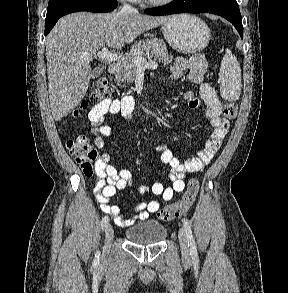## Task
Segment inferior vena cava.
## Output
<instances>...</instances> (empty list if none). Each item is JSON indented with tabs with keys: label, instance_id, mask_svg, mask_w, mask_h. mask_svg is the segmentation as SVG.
I'll list each match as a JSON object with an SVG mask.
<instances>
[{
	"label": "inferior vena cava",
	"instance_id": "obj_1",
	"mask_svg": "<svg viewBox=\"0 0 288 293\" xmlns=\"http://www.w3.org/2000/svg\"><path fill=\"white\" fill-rule=\"evenodd\" d=\"M121 12H137L136 9L131 7L129 4L124 3L123 6L120 8Z\"/></svg>",
	"mask_w": 288,
	"mask_h": 293
}]
</instances>
